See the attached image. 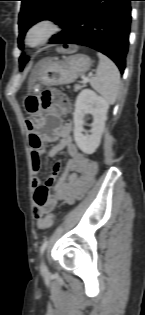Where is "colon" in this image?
<instances>
[{
  "label": "colon",
  "instance_id": "obj_1",
  "mask_svg": "<svg viewBox=\"0 0 145 315\" xmlns=\"http://www.w3.org/2000/svg\"><path fill=\"white\" fill-rule=\"evenodd\" d=\"M62 50L66 53H71L75 50V47L72 45H64ZM41 104L44 109L54 107L61 111H66L70 107L69 101L65 94L58 90L44 92L41 97ZM53 222L54 215L47 214L39 220L38 226L40 229H46L49 228L53 224Z\"/></svg>",
  "mask_w": 145,
  "mask_h": 315
}]
</instances>
